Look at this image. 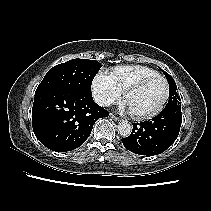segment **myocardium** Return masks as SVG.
Here are the masks:
<instances>
[{"mask_svg": "<svg viewBox=\"0 0 211 211\" xmlns=\"http://www.w3.org/2000/svg\"><path fill=\"white\" fill-rule=\"evenodd\" d=\"M154 80H162L164 82L165 87H166L165 96H164L161 104L155 110H153L149 113L138 114V113H134V112L130 111L131 115L137 120H149V119H152L153 117L157 116L158 114H160L162 112V110L165 108V106H166V104L169 100V97H170L169 83H168L167 79L165 77H163L162 75L149 76V77H145V78L139 80L138 82L131 85L130 87H128L124 91L123 98H124V101L126 102V99H127L129 94L141 89L146 84H148L149 82L154 81Z\"/></svg>", "mask_w": 211, "mask_h": 211, "instance_id": "myocardium-1", "label": "myocardium"}]
</instances>
